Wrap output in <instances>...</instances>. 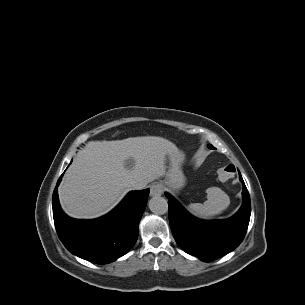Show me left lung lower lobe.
Returning a JSON list of instances; mask_svg holds the SVG:
<instances>
[{
  "label": "left lung lower lobe",
  "instance_id": "left-lung-lower-lobe-1",
  "mask_svg": "<svg viewBox=\"0 0 305 305\" xmlns=\"http://www.w3.org/2000/svg\"><path fill=\"white\" fill-rule=\"evenodd\" d=\"M244 202L229 219L204 221L189 214L173 197L169 199V223L177 244L188 254L211 262L231 251L242 242L250 220L251 203L244 181Z\"/></svg>",
  "mask_w": 305,
  "mask_h": 305
}]
</instances>
